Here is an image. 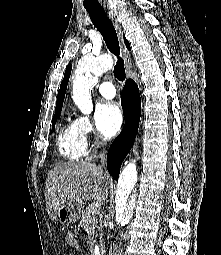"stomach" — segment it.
<instances>
[{
    "label": "stomach",
    "mask_w": 221,
    "mask_h": 255,
    "mask_svg": "<svg viewBox=\"0 0 221 255\" xmlns=\"http://www.w3.org/2000/svg\"><path fill=\"white\" fill-rule=\"evenodd\" d=\"M84 210L82 201H69L58 210L57 220L63 225H72L81 218Z\"/></svg>",
    "instance_id": "0dacf381"
}]
</instances>
